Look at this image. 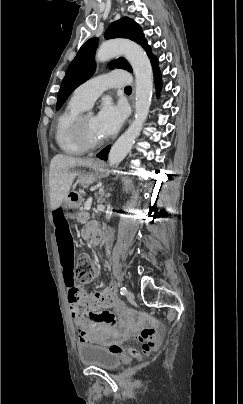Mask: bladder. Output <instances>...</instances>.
Wrapping results in <instances>:
<instances>
[{
    "label": "bladder",
    "instance_id": "bladder-1",
    "mask_svg": "<svg viewBox=\"0 0 243 404\" xmlns=\"http://www.w3.org/2000/svg\"><path fill=\"white\" fill-rule=\"evenodd\" d=\"M77 353L81 363L87 367L114 371L121 366L119 355L101 345L79 343Z\"/></svg>",
    "mask_w": 243,
    "mask_h": 404
}]
</instances>
